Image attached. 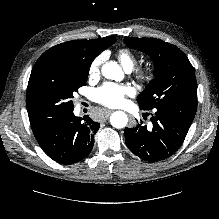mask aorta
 Masks as SVG:
<instances>
[{
    "mask_svg": "<svg viewBox=\"0 0 219 219\" xmlns=\"http://www.w3.org/2000/svg\"><path fill=\"white\" fill-rule=\"evenodd\" d=\"M102 75L107 79H117L121 76V67L115 62L110 61L105 63L101 69ZM110 123L113 127L121 129L126 127L128 117L123 111H115L110 116Z\"/></svg>",
    "mask_w": 219,
    "mask_h": 219,
    "instance_id": "762f6f07",
    "label": "aorta"
}]
</instances>
